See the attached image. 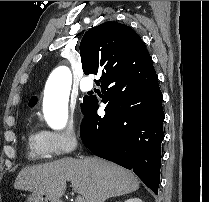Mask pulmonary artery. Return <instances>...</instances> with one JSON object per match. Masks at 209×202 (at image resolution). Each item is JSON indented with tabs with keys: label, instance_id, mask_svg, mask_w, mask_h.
<instances>
[{
	"label": "pulmonary artery",
	"instance_id": "1",
	"mask_svg": "<svg viewBox=\"0 0 209 202\" xmlns=\"http://www.w3.org/2000/svg\"><path fill=\"white\" fill-rule=\"evenodd\" d=\"M82 89L87 90L93 87V81L91 79H86L81 84Z\"/></svg>",
	"mask_w": 209,
	"mask_h": 202
}]
</instances>
